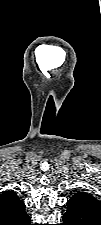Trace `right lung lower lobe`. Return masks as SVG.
<instances>
[{
  "instance_id": "right-lung-lower-lobe-1",
  "label": "right lung lower lobe",
  "mask_w": 101,
  "mask_h": 225,
  "mask_svg": "<svg viewBox=\"0 0 101 225\" xmlns=\"http://www.w3.org/2000/svg\"><path fill=\"white\" fill-rule=\"evenodd\" d=\"M23 225H31L30 218L25 223H23Z\"/></svg>"
}]
</instances>
